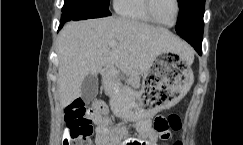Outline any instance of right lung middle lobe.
Listing matches in <instances>:
<instances>
[{
  "label": "right lung middle lobe",
  "instance_id": "obj_1",
  "mask_svg": "<svg viewBox=\"0 0 243 145\" xmlns=\"http://www.w3.org/2000/svg\"><path fill=\"white\" fill-rule=\"evenodd\" d=\"M84 1L94 3L97 6L105 8V9L109 8V0H84Z\"/></svg>",
  "mask_w": 243,
  "mask_h": 145
}]
</instances>
